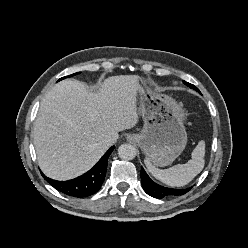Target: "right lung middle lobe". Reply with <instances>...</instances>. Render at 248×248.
<instances>
[{"label": "right lung middle lobe", "instance_id": "1", "mask_svg": "<svg viewBox=\"0 0 248 248\" xmlns=\"http://www.w3.org/2000/svg\"><path fill=\"white\" fill-rule=\"evenodd\" d=\"M79 73H80V72L74 73V74L69 75V76H65V77H63V78L59 79V81H60V80H62V79H64V78H66V77H71V76L77 75V74H79Z\"/></svg>", "mask_w": 248, "mask_h": 248}]
</instances>
